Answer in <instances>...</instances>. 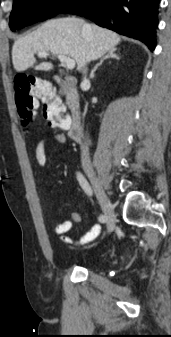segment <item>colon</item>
I'll return each instance as SVG.
<instances>
[{"mask_svg":"<svg viewBox=\"0 0 171 337\" xmlns=\"http://www.w3.org/2000/svg\"><path fill=\"white\" fill-rule=\"evenodd\" d=\"M48 106H41L42 119H48L53 128L65 129L69 117L64 115V100H58L57 92L51 91L49 82L38 76L19 75L15 79V102L22 122L28 124L34 118L36 99Z\"/></svg>","mask_w":171,"mask_h":337,"instance_id":"1","label":"colon"}]
</instances>
